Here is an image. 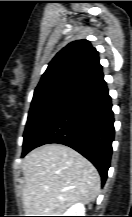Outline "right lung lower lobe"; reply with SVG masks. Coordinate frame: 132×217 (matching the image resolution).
Returning <instances> with one entry per match:
<instances>
[{"mask_svg":"<svg viewBox=\"0 0 132 217\" xmlns=\"http://www.w3.org/2000/svg\"><path fill=\"white\" fill-rule=\"evenodd\" d=\"M113 124L111 98L104 85L70 102L26 153L49 143L69 146L94 164L104 184L112 154Z\"/></svg>","mask_w":132,"mask_h":217,"instance_id":"98d812e1","label":"right lung lower lobe"}]
</instances>
